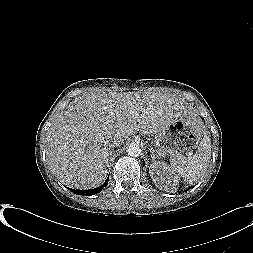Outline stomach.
Here are the masks:
<instances>
[{"instance_id": "obj_1", "label": "stomach", "mask_w": 253, "mask_h": 253, "mask_svg": "<svg viewBox=\"0 0 253 253\" xmlns=\"http://www.w3.org/2000/svg\"><path fill=\"white\" fill-rule=\"evenodd\" d=\"M203 135V129L194 117H180L155 134L151 141V146L154 147L153 155L185 158L198 147Z\"/></svg>"}]
</instances>
